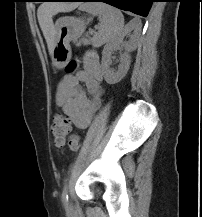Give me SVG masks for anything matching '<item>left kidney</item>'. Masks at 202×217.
Instances as JSON below:
<instances>
[{"instance_id": "1", "label": "left kidney", "mask_w": 202, "mask_h": 217, "mask_svg": "<svg viewBox=\"0 0 202 217\" xmlns=\"http://www.w3.org/2000/svg\"><path fill=\"white\" fill-rule=\"evenodd\" d=\"M132 30L139 31L140 28L134 23L130 22L114 39L104 46L102 51V69L104 72L105 81L108 84H116L126 75L129 70L131 57L129 52L133 51L136 48V41L134 40L135 36L131 37V40L123 44L125 50L124 54L121 55L120 65L118 70H114L110 67L112 60V53L119 49L124 36L129 34Z\"/></svg>"}]
</instances>
